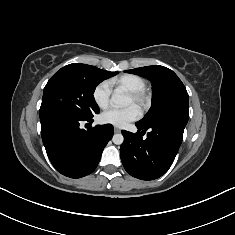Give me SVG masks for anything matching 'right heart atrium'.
Returning a JSON list of instances; mask_svg holds the SVG:
<instances>
[{"mask_svg":"<svg viewBox=\"0 0 235 235\" xmlns=\"http://www.w3.org/2000/svg\"><path fill=\"white\" fill-rule=\"evenodd\" d=\"M111 92L112 88L109 81H102L95 86L92 97L99 108L105 109L109 105Z\"/></svg>","mask_w":235,"mask_h":235,"instance_id":"obj_1","label":"right heart atrium"}]
</instances>
